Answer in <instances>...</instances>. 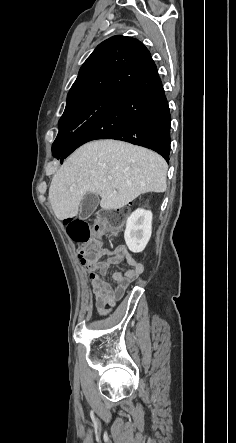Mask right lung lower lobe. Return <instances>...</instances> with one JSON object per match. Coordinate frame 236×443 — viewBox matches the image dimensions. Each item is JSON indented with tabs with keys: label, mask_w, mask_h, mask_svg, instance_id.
I'll return each instance as SVG.
<instances>
[{
	"label": "right lung lower lobe",
	"mask_w": 236,
	"mask_h": 443,
	"mask_svg": "<svg viewBox=\"0 0 236 443\" xmlns=\"http://www.w3.org/2000/svg\"><path fill=\"white\" fill-rule=\"evenodd\" d=\"M171 115L156 65L135 83L112 95L72 136L67 149L52 150L62 163L80 145L95 139H116L170 154Z\"/></svg>",
	"instance_id": "obj_1"
}]
</instances>
